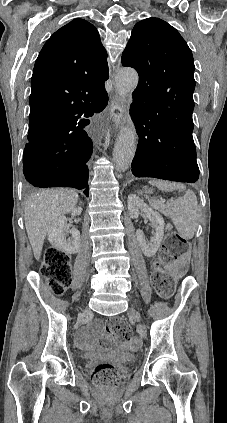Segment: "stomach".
I'll return each instance as SVG.
<instances>
[{
    "mask_svg": "<svg viewBox=\"0 0 227 423\" xmlns=\"http://www.w3.org/2000/svg\"><path fill=\"white\" fill-rule=\"evenodd\" d=\"M147 194H151L150 190H146Z\"/></svg>",
    "mask_w": 227,
    "mask_h": 423,
    "instance_id": "0dacf381",
    "label": "stomach"
}]
</instances>
